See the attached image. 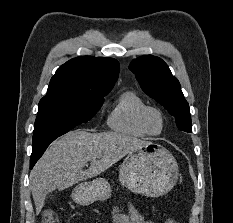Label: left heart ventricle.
<instances>
[{
	"instance_id": "left-heart-ventricle-1",
	"label": "left heart ventricle",
	"mask_w": 233,
	"mask_h": 223,
	"mask_svg": "<svg viewBox=\"0 0 233 223\" xmlns=\"http://www.w3.org/2000/svg\"><path fill=\"white\" fill-rule=\"evenodd\" d=\"M148 125L153 133H159L163 130L164 122L158 112H151L148 116Z\"/></svg>"
}]
</instances>
